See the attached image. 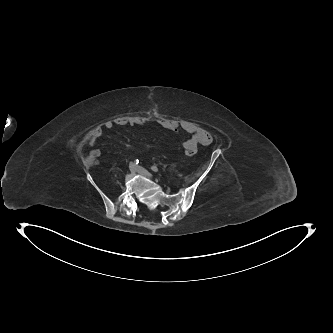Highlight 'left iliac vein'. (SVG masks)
Listing matches in <instances>:
<instances>
[{"instance_id":"obj_1","label":"left iliac vein","mask_w":333,"mask_h":333,"mask_svg":"<svg viewBox=\"0 0 333 333\" xmlns=\"http://www.w3.org/2000/svg\"><path fill=\"white\" fill-rule=\"evenodd\" d=\"M136 172H138L139 174H141V175H143V176H145L147 178H150V179L153 178V175L149 171H147L146 169H144V168H142L140 166L136 167Z\"/></svg>"}]
</instances>
